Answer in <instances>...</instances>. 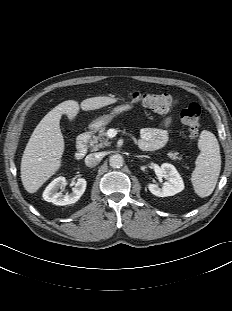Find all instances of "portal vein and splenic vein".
Listing matches in <instances>:
<instances>
[{
	"mask_svg": "<svg viewBox=\"0 0 232 311\" xmlns=\"http://www.w3.org/2000/svg\"><path fill=\"white\" fill-rule=\"evenodd\" d=\"M108 136H109V137H113V135H112L110 132L108 133Z\"/></svg>",
	"mask_w": 232,
	"mask_h": 311,
	"instance_id": "18ae733b",
	"label": "portal vein and splenic vein"
}]
</instances>
